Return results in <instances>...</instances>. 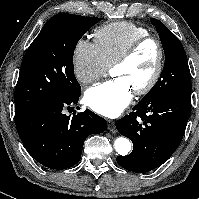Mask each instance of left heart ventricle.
Instances as JSON below:
<instances>
[{
	"instance_id": "left-heart-ventricle-1",
	"label": "left heart ventricle",
	"mask_w": 199,
	"mask_h": 199,
	"mask_svg": "<svg viewBox=\"0 0 199 199\" xmlns=\"http://www.w3.org/2000/svg\"><path fill=\"white\" fill-rule=\"evenodd\" d=\"M157 49L153 43L142 46L132 59L122 66L114 68V77L124 78L134 90L146 84L154 72L157 62Z\"/></svg>"
}]
</instances>
